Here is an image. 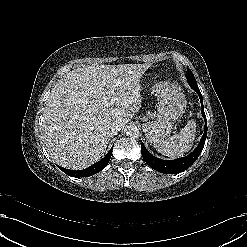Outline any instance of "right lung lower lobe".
I'll use <instances>...</instances> for the list:
<instances>
[{"instance_id": "98d812e1", "label": "right lung lower lobe", "mask_w": 247, "mask_h": 247, "mask_svg": "<svg viewBox=\"0 0 247 247\" xmlns=\"http://www.w3.org/2000/svg\"><path fill=\"white\" fill-rule=\"evenodd\" d=\"M112 148L110 149V151L107 153V155L102 160H100L99 162L91 165L90 167H88L86 169L73 171V170L65 169V168H63L61 166H58V167L64 173H66L67 175L72 176V177H87V176H91L93 174H96V173L100 172L102 169H104L106 167V165L108 164V162H109V160L111 158V155H112Z\"/></svg>"}]
</instances>
